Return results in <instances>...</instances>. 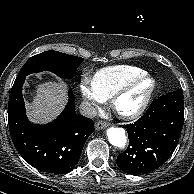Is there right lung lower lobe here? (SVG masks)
Instances as JSON below:
<instances>
[{"mask_svg":"<svg viewBox=\"0 0 194 194\" xmlns=\"http://www.w3.org/2000/svg\"><path fill=\"white\" fill-rule=\"evenodd\" d=\"M25 77H17L8 102L10 135L17 151L33 167L47 173L66 174L78 163L87 138L94 131L93 121L78 115L74 95L53 122L36 125L28 121L22 97Z\"/></svg>","mask_w":194,"mask_h":194,"instance_id":"right-lung-lower-lobe-1","label":"right lung lower lobe"}]
</instances>
